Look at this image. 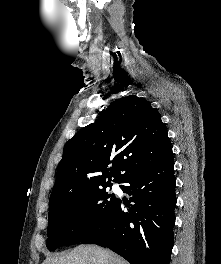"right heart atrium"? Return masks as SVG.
<instances>
[{
	"mask_svg": "<svg viewBox=\"0 0 221 264\" xmlns=\"http://www.w3.org/2000/svg\"><path fill=\"white\" fill-rule=\"evenodd\" d=\"M90 213V206L87 203H83L80 207H79V214L82 218H85L89 215Z\"/></svg>",
	"mask_w": 221,
	"mask_h": 264,
	"instance_id": "obj_1",
	"label": "right heart atrium"
}]
</instances>
